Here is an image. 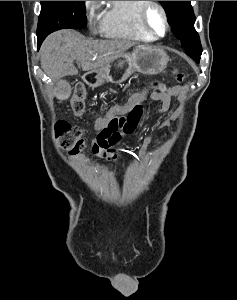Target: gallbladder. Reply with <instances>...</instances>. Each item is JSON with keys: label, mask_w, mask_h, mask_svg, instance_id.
<instances>
[{"label": "gallbladder", "mask_w": 237, "mask_h": 300, "mask_svg": "<svg viewBox=\"0 0 237 300\" xmlns=\"http://www.w3.org/2000/svg\"><path fill=\"white\" fill-rule=\"evenodd\" d=\"M54 93L59 101H65L72 93L71 83L61 82L58 87L54 88Z\"/></svg>", "instance_id": "bac80fb5"}]
</instances>
